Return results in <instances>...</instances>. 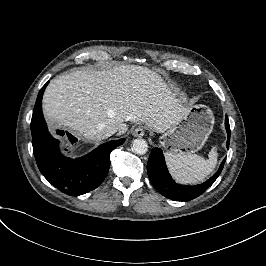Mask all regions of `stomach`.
<instances>
[{
  "mask_svg": "<svg viewBox=\"0 0 266 266\" xmlns=\"http://www.w3.org/2000/svg\"><path fill=\"white\" fill-rule=\"evenodd\" d=\"M214 123L213 112L208 106L194 105L182 121L172 125L160 137V144L169 153L193 154L204 146Z\"/></svg>",
  "mask_w": 266,
  "mask_h": 266,
  "instance_id": "0dacf381",
  "label": "stomach"
}]
</instances>
